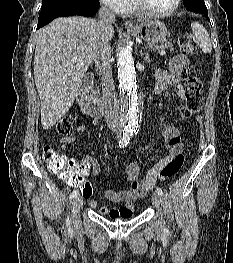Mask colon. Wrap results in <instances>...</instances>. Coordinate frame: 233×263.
Masks as SVG:
<instances>
[{
  "label": "colon",
  "mask_w": 233,
  "mask_h": 263,
  "mask_svg": "<svg viewBox=\"0 0 233 263\" xmlns=\"http://www.w3.org/2000/svg\"><path fill=\"white\" fill-rule=\"evenodd\" d=\"M179 44L185 54L195 55L196 48L191 44L187 35L180 37ZM184 76L186 80V103L180 114L181 119L191 117L194 113L200 111L203 106L201 70L195 66H188L184 70ZM55 130L60 135H70L73 130V118L64 116L56 123ZM43 159L51 173L60 176V180H69V188L77 189L79 195L91 194V186L87 182V176H91V171H75L76 163L74 160L67 159L49 146L44 148ZM183 162L184 156L182 154L175 156L164 166L157 169L153 174V178L164 180L174 176L181 169ZM70 183L82 184L71 185Z\"/></svg>",
  "instance_id": "colon-1"
}]
</instances>
